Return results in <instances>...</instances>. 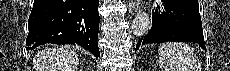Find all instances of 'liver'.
I'll list each match as a JSON object with an SVG mask.
<instances>
[{"label":"liver","instance_id":"1","mask_svg":"<svg viewBox=\"0 0 230 71\" xmlns=\"http://www.w3.org/2000/svg\"><path fill=\"white\" fill-rule=\"evenodd\" d=\"M33 62L36 71H75L79 58L71 49L53 48L39 52Z\"/></svg>","mask_w":230,"mask_h":71}]
</instances>
